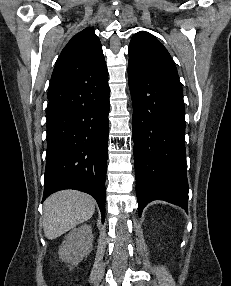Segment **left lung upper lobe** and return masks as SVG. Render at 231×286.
I'll use <instances>...</instances> for the list:
<instances>
[{"mask_svg":"<svg viewBox=\"0 0 231 286\" xmlns=\"http://www.w3.org/2000/svg\"><path fill=\"white\" fill-rule=\"evenodd\" d=\"M129 64L150 74L179 81L177 68L166 48L150 33H136L129 45Z\"/></svg>","mask_w":231,"mask_h":286,"instance_id":"5c2ea615","label":"left lung upper lobe"}]
</instances>
